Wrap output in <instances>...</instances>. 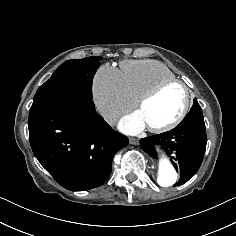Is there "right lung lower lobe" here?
<instances>
[{
  "label": "right lung lower lobe",
  "instance_id": "98d812e1",
  "mask_svg": "<svg viewBox=\"0 0 236 236\" xmlns=\"http://www.w3.org/2000/svg\"><path fill=\"white\" fill-rule=\"evenodd\" d=\"M28 127L35 157L71 191L102 185L110 176L113 156L129 142L96 113L92 100L61 102L29 112Z\"/></svg>",
  "mask_w": 236,
  "mask_h": 236
}]
</instances>
